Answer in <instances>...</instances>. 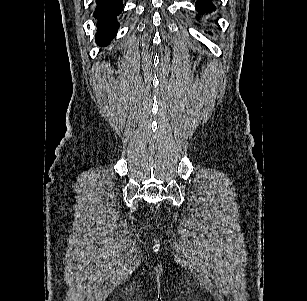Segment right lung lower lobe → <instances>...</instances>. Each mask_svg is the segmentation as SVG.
<instances>
[{
    "mask_svg": "<svg viewBox=\"0 0 307 301\" xmlns=\"http://www.w3.org/2000/svg\"><path fill=\"white\" fill-rule=\"evenodd\" d=\"M97 7L93 16L98 20L96 43L99 46L108 45L119 28L117 15L123 10L122 0H96Z\"/></svg>",
    "mask_w": 307,
    "mask_h": 301,
    "instance_id": "98d812e1",
    "label": "right lung lower lobe"
}]
</instances>
